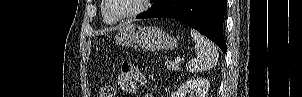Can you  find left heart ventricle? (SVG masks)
I'll return each mask as SVG.
<instances>
[{
	"instance_id": "1",
	"label": "left heart ventricle",
	"mask_w": 302,
	"mask_h": 97,
	"mask_svg": "<svg viewBox=\"0 0 302 97\" xmlns=\"http://www.w3.org/2000/svg\"><path fill=\"white\" fill-rule=\"evenodd\" d=\"M139 6V0H110V8L116 15H125Z\"/></svg>"
}]
</instances>
